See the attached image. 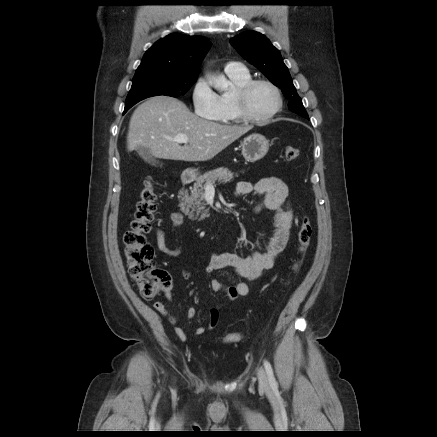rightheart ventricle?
Instances as JSON below:
<instances>
[{
    "label": "right heart ventricle",
    "instance_id": "1",
    "mask_svg": "<svg viewBox=\"0 0 437 437\" xmlns=\"http://www.w3.org/2000/svg\"><path fill=\"white\" fill-rule=\"evenodd\" d=\"M225 73L233 83L234 89L218 95L220 113L215 120L223 124L240 123L242 119L240 118L235 106V92L238 88L251 80V75L246 69L242 71Z\"/></svg>",
    "mask_w": 437,
    "mask_h": 437
}]
</instances>
